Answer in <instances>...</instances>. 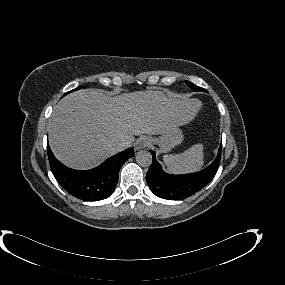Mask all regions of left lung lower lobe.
<instances>
[{"label":"left lung lower lobe","mask_w":285,"mask_h":285,"mask_svg":"<svg viewBox=\"0 0 285 285\" xmlns=\"http://www.w3.org/2000/svg\"><path fill=\"white\" fill-rule=\"evenodd\" d=\"M221 147L222 144L217 158L210 166L202 171L184 175L165 173L156 160L154 151L151 150L153 161L146 174L150 189L156 196L167 200H181L195 194L214 178L220 163Z\"/></svg>","instance_id":"1"}]
</instances>
